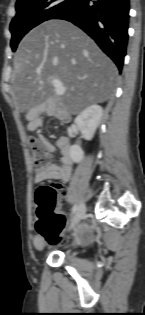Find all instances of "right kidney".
Wrapping results in <instances>:
<instances>
[{
  "mask_svg": "<svg viewBox=\"0 0 145 315\" xmlns=\"http://www.w3.org/2000/svg\"><path fill=\"white\" fill-rule=\"evenodd\" d=\"M103 116V109L97 104L85 108L76 118L75 124L82 133V137L91 140L99 126ZM73 162L80 163L84 158V152L77 144L72 145L69 150Z\"/></svg>",
  "mask_w": 145,
  "mask_h": 315,
  "instance_id": "right-kidney-1",
  "label": "right kidney"
}]
</instances>
